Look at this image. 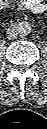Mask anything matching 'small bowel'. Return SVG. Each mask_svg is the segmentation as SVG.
I'll return each instance as SVG.
<instances>
[{
    "mask_svg": "<svg viewBox=\"0 0 47 129\" xmlns=\"http://www.w3.org/2000/svg\"><path fill=\"white\" fill-rule=\"evenodd\" d=\"M15 0H2L4 6L11 5ZM19 6L21 8L29 9L33 13H42L46 9V3L44 0H19Z\"/></svg>",
    "mask_w": 47,
    "mask_h": 129,
    "instance_id": "obj_1",
    "label": "small bowel"
}]
</instances>
